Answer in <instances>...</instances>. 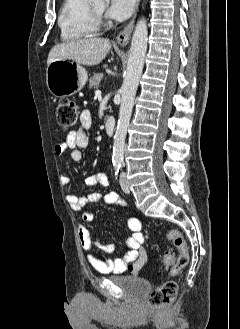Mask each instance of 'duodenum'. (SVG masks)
<instances>
[{"label":"duodenum","mask_w":240,"mask_h":329,"mask_svg":"<svg viewBox=\"0 0 240 329\" xmlns=\"http://www.w3.org/2000/svg\"><path fill=\"white\" fill-rule=\"evenodd\" d=\"M105 131L108 136H112L115 131V119L112 116L106 118Z\"/></svg>","instance_id":"1"}]
</instances>
